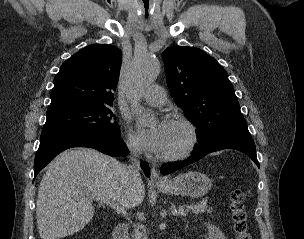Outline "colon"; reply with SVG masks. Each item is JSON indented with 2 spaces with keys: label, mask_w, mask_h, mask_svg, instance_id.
Returning <instances> with one entry per match:
<instances>
[{
  "label": "colon",
  "mask_w": 304,
  "mask_h": 239,
  "mask_svg": "<svg viewBox=\"0 0 304 239\" xmlns=\"http://www.w3.org/2000/svg\"><path fill=\"white\" fill-rule=\"evenodd\" d=\"M246 195L241 188L232 190L229 209L236 239H253L247 223Z\"/></svg>",
  "instance_id": "colon-1"
}]
</instances>
